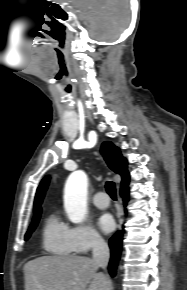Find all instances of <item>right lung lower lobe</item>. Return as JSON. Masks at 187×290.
Instances as JSON below:
<instances>
[{
	"instance_id": "right-lung-lower-lobe-1",
	"label": "right lung lower lobe",
	"mask_w": 187,
	"mask_h": 290,
	"mask_svg": "<svg viewBox=\"0 0 187 290\" xmlns=\"http://www.w3.org/2000/svg\"><path fill=\"white\" fill-rule=\"evenodd\" d=\"M121 196L124 199V204L126 205L128 201V190L121 191ZM123 240V231H118L114 236L109 240V247L111 250V258L109 262V273L114 276L116 273V267L118 264V260L121 254V246Z\"/></svg>"
}]
</instances>
